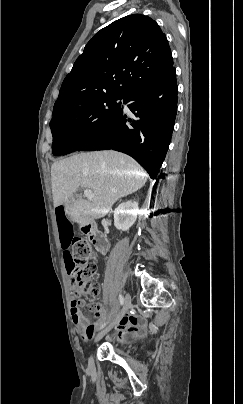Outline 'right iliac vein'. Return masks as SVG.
I'll return each instance as SVG.
<instances>
[{
  "instance_id": "right-iliac-vein-1",
  "label": "right iliac vein",
  "mask_w": 243,
  "mask_h": 404,
  "mask_svg": "<svg viewBox=\"0 0 243 404\" xmlns=\"http://www.w3.org/2000/svg\"><path fill=\"white\" fill-rule=\"evenodd\" d=\"M130 306H131V296L129 294H126L123 308L121 309L117 317L113 320V322H111L105 329H103L96 336L95 341L100 340L106 333H108L114 327V325L125 315ZM88 369L90 371H93L95 369L94 358L92 355H90L88 359Z\"/></svg>"
}]
</instances>
